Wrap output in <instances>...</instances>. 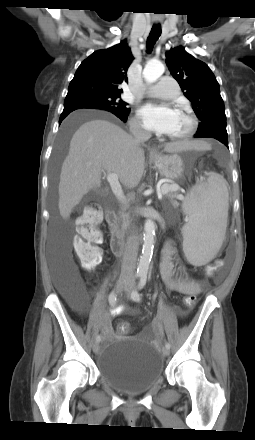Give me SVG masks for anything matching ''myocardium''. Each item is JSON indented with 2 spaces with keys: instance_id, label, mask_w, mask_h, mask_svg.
<instances>
[{
  "instance_id": "obj_1",
  "label": "myocardium",
  "mask_w": 255,
  "mask_h": 440,
  "mask_svg": "<svg viewBox=\"0 0 255 440\" xmlns=\"http://www.w3.org/2000/svg\"><path fill=\"white\" fill-rule=\"evenodd\" d=\"M178 110L183 112L187 116L189 120V126L183 133L179 135H170L169 137L173 140L181 141L193 136V134L196 132L198 128V119L193 114V112L186 106H179Z\"/></svg>"
}]
</instances>
